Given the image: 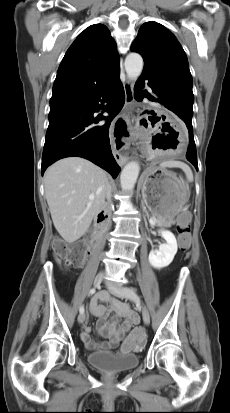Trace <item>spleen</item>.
Returning a JSON list of instances; mask_svg holds the SVG:
<instances>
[{"instance_id": "3e777b00", "label": "spleen", "mask_w": 230, "mask_h": 413, "mask_svg": "<svg viewBox=\"0 0 230 413\" xmlns=\"http://www.w3.org/2000/svg\"><path fill=\"white\" fill-rule=\"evenodd\" d=\"M160 167L161 168H166V167H168V168H180L184 171L187 180L189 182L193 181V173H192L190 167L187 164H185L184 162L169 160V161L162 162L160 164Z\"/></svg>"}]
</instances>
